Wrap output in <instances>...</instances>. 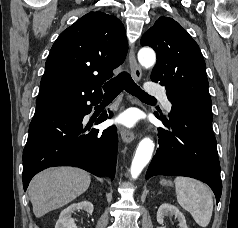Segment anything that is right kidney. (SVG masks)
I'll return each instance as SVG.
<instances>
[{
	"label": "right kidney",
	"mask_w": 238,
	"mask_h": 228,
	"mask_svg": "<svg viewBox=\"0 0 238 228\" xmlns=\"http://www.w3.org/2000/svg\"><path fill=\"white\" fill-rule=\"evenodd\" d=\"M75 210H84L89 214L93 213L94 206L89 201H82L79 203L72 204L64 209L56 222L55 228H77L74 219L71 217Z\"/></svg>",
	"instance_id": "right-kidney-1"
}]
</instances>
